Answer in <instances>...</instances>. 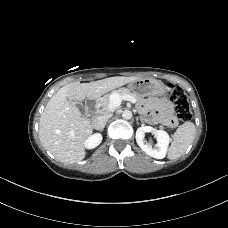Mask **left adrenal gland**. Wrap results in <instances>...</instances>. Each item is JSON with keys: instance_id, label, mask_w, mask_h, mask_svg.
<instances>
[{"instance_id": "obj_1", "label": "left adrenal gland", "mask_w": 228, "mask_h": 228, "mask_svg": "<svg viewBox=\"0 0 228 228\" xmlns=\"http://www.w3.org/2000/svg\"><path fill=\"white\" fill-rule=\"evenodd\" d=\"M138 119V118H137ZM140 121L144 123V120L142 117H139Z\"/></svg>"}]
</instances>
